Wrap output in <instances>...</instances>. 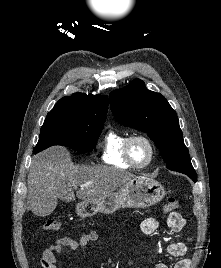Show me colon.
<instances>
[{
  "label": "colon",
  "instance_id": "colon-1",
  "mask_svg": "<svg viewBox=\"0 0 221 268\" xmlns=\"http://www.w3.org/2000/svg\"><path fill=\"white\" fill-rule=\"evenodd\" d=\"M178 207V201L176 198L174 197H170L167 199L165 205H164V210L165 212L168 213H173V211ZM62 227V224L60 222V220L56 219V218H51L49 220H47L44 225H43V229L46 231H58L60 230Z\"/></svg>",
  "mask_w": 221,
  "mask_h": 268
}]
</instances>
